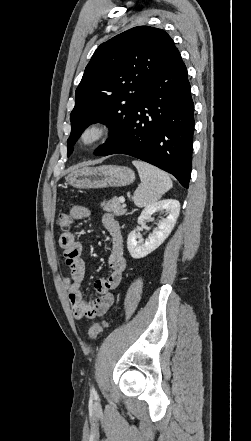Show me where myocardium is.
<instances>
[{
	"instance_id": "1",
	"label": "myocardium",
	"mask_w": 251,
	"mask_h": 441,
	"mask_svg": "<svg viewBox=\"0 0 251 441\" xmlns=\"http://www.w3.org/2000/svg\"><path fill=\"white\" fill-rule=\"evenodd\" d=\"M110 124L104 119L88 122L78 135V143L83 148H92L104 141L111 133Z\"/></svg>"
}]
</instances>
